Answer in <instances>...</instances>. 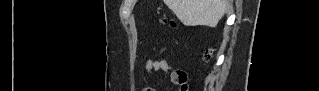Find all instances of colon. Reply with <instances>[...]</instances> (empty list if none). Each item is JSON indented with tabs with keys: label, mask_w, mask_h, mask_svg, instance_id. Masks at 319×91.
Wrapping results in <instances>:
<instances>
[{
	"label": "colon",
	"mask_w": 319,
	"mask_h": 91,
	"mask_svg": "<svg viewBox=\"0 0 319 91\" xmlns=\"http://www.w3.org/2000/svg\"><path fill=\"white\" fill-rule=\"evenodd\" d=\"M162 22L164 23V24H168V25H170V26H175V23H174V21H172V20H169V19H167V18H162ZM210 52H208L207 53V56H210ZM178 83L181 85V90L182 91H187L188 90V85H187V78H186V76L183 74V73H181L180 75H179V79H178Z\"/></svg>",
	"instance_id": "1"
}]
</instances>
